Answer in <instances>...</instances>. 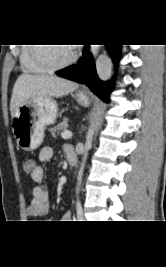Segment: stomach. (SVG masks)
<instances>
[{"mask_svg":"<svg viewBox=\"0 0 166 267\" xmlns=\"http://www.w3.org/2000/svg\"><path fill=\"white\" fill-rule=\"evenodd\" d=\"M78 103L89 105V98L83 92H77ZM58 113L57 102L51 97H37L22 105L12 118V132L17 145L32 151L38 148L44 139V129L55 122Z\"/></svg>","mask_w":166,"mask_h":267,"instance_id":"obj_1","label":"stomach"}]
</instances>
